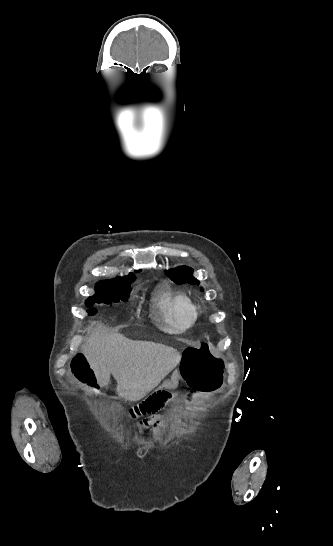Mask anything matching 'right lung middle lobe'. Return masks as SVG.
Masks as SVG:
<instances>
[{
  "mask_svg": "<svg viewBox=\"0 0 333 546\" xmlns=\"http://www.w3.org/2000/svg\"><path fill=\"white\" fill-rule=\"evenodd\" d=\"M135 280V275L126 277H117L113 280L99 281L95 286V294L89 297L85 304L91 307L94 303L118 302L119 300L126 301L129 297L130 285ZM89 315L92 314V309L88 310Z\"/></svg>",
  "mask_w": 333,
  "mask_h": 546,
  "instance_id": "1",
  "label": "right lung middle lobe"
}]
</instances>
